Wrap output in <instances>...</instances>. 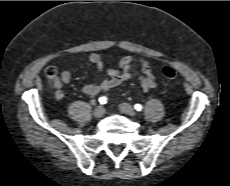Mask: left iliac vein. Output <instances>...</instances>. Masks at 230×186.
<instances>
[{"label": "left iliac vein", "mask_w": 230, "mask_h": 186, "mask_svg": "<svg viewBox=\"0 0 230 186\" xmlns=\"http://www.w3.org/2000/svg\"><path fill=\"white\" fill-rule=\"evenodd\" d=\"M119 109L122 113L127 114L129 116L135 117L136 116V112L133 109V107L128 104V103H121L119 105Z\"/></svg>", "instance_id": "obj_1"}]
</instances>
